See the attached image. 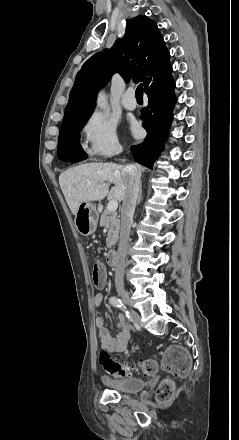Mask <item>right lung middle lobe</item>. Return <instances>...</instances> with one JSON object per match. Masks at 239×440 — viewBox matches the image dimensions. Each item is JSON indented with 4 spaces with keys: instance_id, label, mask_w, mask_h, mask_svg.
Here are the masks:
<instances>
[{
    "instance_id": "right-lung-middle-lobe-1",
    "label": "right lung middle lobe",
    "mask_w": 239,
    "mask_h": 440,
    "mask_svg": "<svg viewBox=\"0 0 239 440\" xmlns=\"http://www.w3.org/2000/svg\"><path fill=\"white\" fill-rule=\"evenodd\" d=\"M92 113L75 117L62 123L58 139V153L68 148L79 146L80 134Z\"/></svg>"
}]
</instances>
